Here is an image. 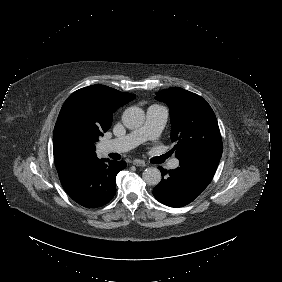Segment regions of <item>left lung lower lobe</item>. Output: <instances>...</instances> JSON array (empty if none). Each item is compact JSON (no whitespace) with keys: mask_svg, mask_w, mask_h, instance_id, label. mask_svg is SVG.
Masks as SVG:
<instances>
[{"mask_svg":"<svg viewBox=\"0 0 282 282\" xmlns=\"http://www.w3.org/2000/svg\"><path fill=\"white\" fill-rule=\"evenodd\" d=\"M219 161L220 158L199 155L180 160V167L168 172L161 166L158 167L162 180L153 189L154 197L171 207L189 204L211 182Z\"/></svg>","mask_w":282,"mask_h":282,"instance_id":"0a47b994","label":"left lung lower lobe"}]
</instances>
